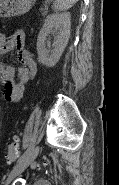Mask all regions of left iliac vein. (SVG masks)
Returning <instances> with one entry per match:
<instances>
[{"mask_svg":"<svg viewBox=\"0 0 119 185\" xmlns=\"http://www.w3.org/2000/svg\"><path fill=\"white\" fill-rule=\"evenodd\" d=\"M39 146L33 148L31 152L25 156L9 173L6 180V185H9L14 178H16L20 173H22L34 160L37 158L39 153Z\"/></svg>","mask_w":119,"mask_h":185,"instance_id":"1","label":"left iliac vein"}]
</instances>
